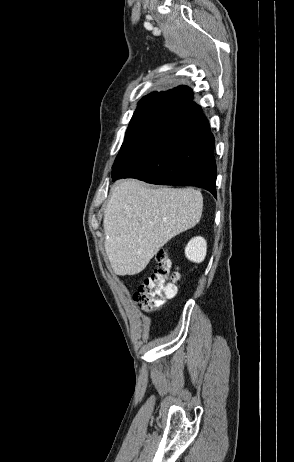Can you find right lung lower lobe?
Returning <instances> with one entry per match:
<instances>
[{"label":"right lung lower lobe","instance_id":"98d812e1","mask_svg":"<svg viewBox=\"0 0 294 462\" xmlns=\"http://www.w3.org/2000/svg\"><path fill=\"white\" fill-rule=\"evenodd\" d=\"M176 120L154 141L141 149L116 174L152 184L196 186L216 197L214 137L201 107L191 102Z\"/></svg>","mask_w":294,"mask_h":462}]
</instances>
